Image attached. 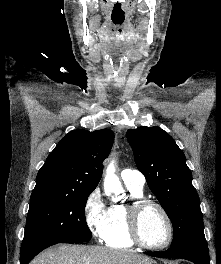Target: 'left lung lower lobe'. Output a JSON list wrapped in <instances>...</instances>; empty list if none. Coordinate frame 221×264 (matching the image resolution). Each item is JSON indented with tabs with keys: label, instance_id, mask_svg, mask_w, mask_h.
<instances>
[{
	"label": "left lung lower lobe",
	"instance_id": "1",
	"mask_svg": "<svg viewBox=\"0 0 221 264\" xmlns=\"http://www.w3.org/2000/svg\"><path fill=\"white\" fill-rule=\"evenodd\" d=\"M148 255L160 258H181L186 259L194 264H210L209 251L206 241L204 242H187L172 246L163 252H145Z\"/></svg>",
	"mask_w": 221,
	"mask_h": 264
}]
</instances>
